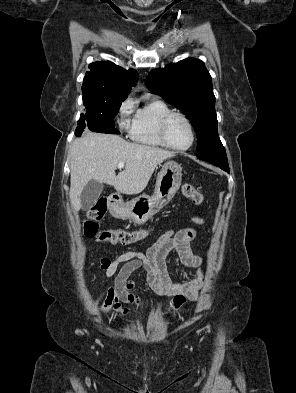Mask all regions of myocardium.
<instances>
[{
	"mask_svg": "<svg viewBox=\"0 0 296 393\" xmlns=\"http://www.w3.org/2000/svg\"><path fill=\"white\" fill-rule=\"evenodd\" d=\"M176 117L183 119L187 123V125L190 129L191 141L185 147H177V146L173 145L168 139V135H167L168 126H169L171 120ZM159 134H160V138H161L162 142L165 144V146H167L168 148L175 150V151L189 150L194 145L195 140H196V132H195V128L193 126V123L191 122V120L189 119L188 116H186L185 114H183L181 112H170L169 114H167L161 121L160 128H159Z\"/></svg>",
	"mask_w": 296,
	"mask_h": 393,
	"instance_id": "obj_1",
	"label": "myocardium"
}]
</instances>
